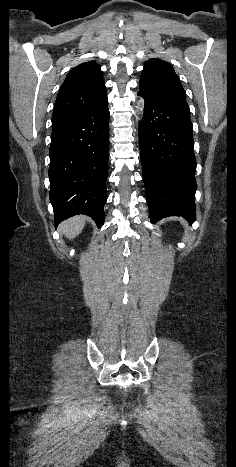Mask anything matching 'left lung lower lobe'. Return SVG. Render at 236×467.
Here are the masks:
<instances>
[{
  "instance_id": "1",
  "label": "left lung lower lobe",
  "mask_w": 236,
  "mask_h": 467,
  "mask_svg": "<svg viewBox=\"0 0 236 467\" xmlns=\"http://www.w3.org/2000/svg\"><path fill=\"white\" fill-rule=\"evenodd\" d=\"M139 125V146L151 222L168 216L196 219L192 123L188 104L150 98Z\"/></svg>"
}]
</instances>
